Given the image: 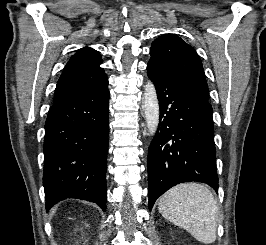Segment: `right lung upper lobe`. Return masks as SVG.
I'll return each instance as SVG.
<instances>
[{"instance_id": "cb5924a9", "label": "right lung upper lobe", "mask_w": 266, "mask_h": 245, "mask_svg": "<svg viewBox=\"0 0 266 245\" xmlns=\"http://www.w3.org/2000/svg\"><path fill=\"white\" fill-rule=\"evenodd\" d=\"M100 64L102 58L99 52L91 48L79 49L68 61L58 80L53 102L63 100L82 87L107 81Z\"/></svg>"}]
</instances>
